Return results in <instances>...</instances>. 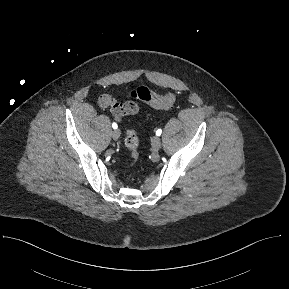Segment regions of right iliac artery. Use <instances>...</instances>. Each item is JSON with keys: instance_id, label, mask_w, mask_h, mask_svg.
Returning a JSON list of instances; mask_svg holds the SVG:
<instances>
[{"instance_id": "obj_1", "label": "right iliac artery", "mask_w": 289, "mask_h": 289, "mask_svg": "<svg viewBox=\"0 0 289 289\" xmlns=\"http://www.w3.org/2000/svg\"><path fill=\"white\" fill-rule=\"evenodd\" d=\"M112 127H113V129H117V128H118V125H117L115 122H113V123H112Z\"/></svg>"}]
</instances>
